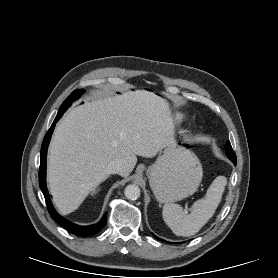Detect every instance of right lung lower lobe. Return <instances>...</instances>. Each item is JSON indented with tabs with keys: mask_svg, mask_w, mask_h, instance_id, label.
<instances>
[{
	"mask_svg": "<svg viewBox=\"0 0 278 278\" xmlns=\"http://www.w3.org/2000/svg\"><path fill=\"white\" fill-rule=\"evenodd\" d=\"M65 111H59L54 122L52 123L50 129L48 130V132L46 133L43 143H42V147H41V158H40V168H39V185L40 188L43 192V195L45 197V201L47 204V208L48 211L51 215V217L58 223L60 224L62 227H64L65 229H67L68 231H70L73 234L76 235H82V236H90L93 235L95 233H97L98 231H100V229H102L105 224H106V213L104 214V216L102 217L101 221L93 224V225H89V226H80V225H76L74 223H71L70 221L66 220L65 218L61 217L60 215L57 214V212L55 211V209L53 208V205L51 203V200L49 198V194H48V190L46 187V155H47V148H48V144L51 138V135L53 133L54 127L56 122L61 118V116L63 115Z\"/></svg>",
	"mask_w": 278,
	"mask_h": 278,
	"instance_id": "right-lung-lower-lobe-1",
	"label": "right lung lower lobe"
}]
</instances>
